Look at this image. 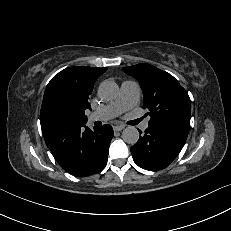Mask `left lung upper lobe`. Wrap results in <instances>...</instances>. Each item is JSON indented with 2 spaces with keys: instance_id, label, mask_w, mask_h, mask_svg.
Masks as SVG:
<instances>
[{
  "instance_id": "obj_1",
  "label": "left lung upper lobe",
  "mask_w": 231,
  "mask_h": 231,
  "mask_svg": "<svg viewBox=\"0 0 231 231\" xmlns=\"http://www.w3.org/2000/svg\"><path fill=\"white\" fill-rule=\"evenodd\" d=\"M122 69L139 81L143 91V108L149 111L146 115L150 114V122L189 130L191 101L176 78L145 63Z\"/></svg>"
}]
</instances>
